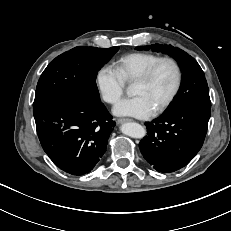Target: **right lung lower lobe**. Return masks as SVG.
Returning <instances> with one entry per match:
<instances>
[{
	"instance_id": "1",
	"label": "right lung lower lobe",
	"mask_w": 231,
	"mask_h": 231,
	"mask_svg": "<svg viewBox=\"0 0 231 231\" xmlns=\"http://www.w3.org/2000/svg\"><path fill=\"white\" fill-rule=\"evenodd\" d=\"M33 114L42 148L72 175L95 167L116 125L101 101L58 100L34 107Z\"/></svg>"
}]
</instances>
